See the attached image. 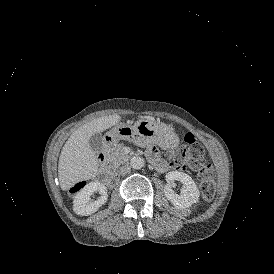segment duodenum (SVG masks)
<instances>
[{
	"label": "duodenum",
	"mask_w": 274,
	"mask_h": 274,
	"mask_svg": "<svg viewBox=\"0 0 274 274\" xmlns=\"http://www.w3.org/2000/svg\"><path fill=\"white\" fill-rule=\"evenodd\" d=\"M111 142H113V138L107 137L106 143H111ZM98 159H99L100 165L103 169V172L106 174V176H108L109 178L115 177L116 171L113 168V166L111 165V163L108 161L106 155L104 153H100L98 155ZM153 164L158 171L166 170V165L160 160L153 161Z\"/></svg>",
	"instance_id": "1"
}]
</instances>
